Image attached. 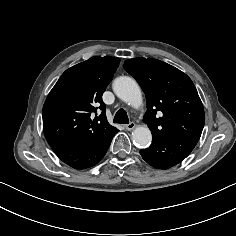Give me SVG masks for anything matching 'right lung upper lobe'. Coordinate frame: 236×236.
<instances>
[{"label": "right lung upper lobe", "instance_id": "1", "mask_svg": "<svg viewBox=\"0 0 236 236\" xmlns=\"http://www.w3.org/2000/svg\"><path fill=\"white\" fill-rule=\"evenodd\" d=\"M119 62L96 56L62 74L43 106V130L50 145L93 143L116 129L107 122L102 94ZM96 106L102 112L93 118Z\"/></svg>", "mask_w": 236, "mask_h": 236}]
</instances>
